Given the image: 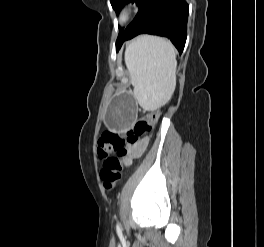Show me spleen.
Instances as JSON below:
<instances>
[{"instance_id": "spleen-1", "label": "spleen", "mask_w": 264, "mask_h": 247, "mask_svg": "<svg viewBox=\"0 0 264 247\" xmlns=\"http://www.w3.org/2000/svg\"><path fill=\"white\" fill-rule=\"evenodd\" d=\"M125 63L139 102L163 105L176 87V54L167 40L143 35L132 41L125 51Z\"/></svg>"}]
</instances>
